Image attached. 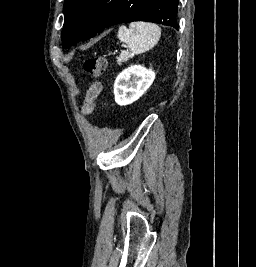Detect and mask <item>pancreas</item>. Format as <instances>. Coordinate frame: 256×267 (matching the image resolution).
<instances>
[{"instance_id": "obj_1", "label": "pancreas", "mask_w": 256, "mask_h": 267, "mask_svg": "<svg viewBox=\"0 0 256 267\" xmlns=\"http://www.w3.org/2000/svg\"><path fill=\"white\" fill-rule=\"evenodd\" d=\"M129 58H131V56H129V54H126V52H122V54H120V56H118V58H117V62L119 64V66H122V64H124V62H128Z\"/></svg>"}]
</instances>
